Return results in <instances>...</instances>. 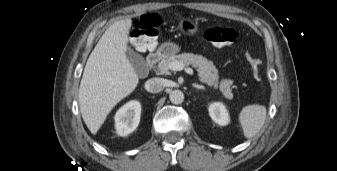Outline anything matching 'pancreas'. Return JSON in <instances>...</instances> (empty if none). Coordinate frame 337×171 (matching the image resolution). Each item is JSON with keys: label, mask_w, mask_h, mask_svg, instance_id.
<instances>
[{"label": "pancreas", "mask_w": 337, "mask_h": 171, "mask_svg": "<svg viewBox=\"0 0 337 171\" xmlns=\"http://www.w3.org/2000/svg\"><path fill=\"white\" fill-rule=\"evenodd\" d=\"M175 61L182 63L184 66H193L197 69L201 82L206 83L209 86H214V88L219 87L225 98L232 99L233 94L231 92V85L233 84V81L229 79H222L219 82L218 70L212 61H209L202 55H194L192 53L172 55L167 58H163L158 63L157 67L159 73L161 75H169V65Z\"/></svg>", "instance_id": "cf45deb5"}]
</instances>
